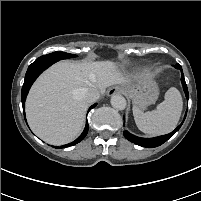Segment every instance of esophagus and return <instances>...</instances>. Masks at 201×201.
I'll return each mask as SVG.
<instances>
[{"mask_svg":"<svg viewBox=\"0 0 201 201\" xmlns=\"http://www.w3.org/2000/svg\"><path fill=\"white\" fill-rule=\"evenodd\" d=\"M120 90H121L120 87H117V86L112 87V88H110L109 91H108V96H112V95H114V94H116V93H119Z\"/></svg>","mask_w":201,"mask_h":201,"instance_id":"esophagus-1","label":"esophagus"}]
</instances>
